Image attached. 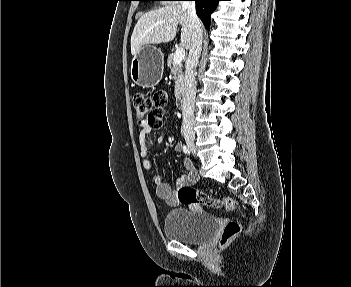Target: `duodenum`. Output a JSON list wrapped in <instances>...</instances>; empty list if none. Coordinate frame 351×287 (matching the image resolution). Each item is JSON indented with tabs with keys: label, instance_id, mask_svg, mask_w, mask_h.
<instances>
[{
	"label": "duodenum",
	"instance_id": "duodenum-1",
	"mask_svg": "<svg viewBox=\"0 0 351 287\" xmlns=\"http://www.w3.org/2000/svg\"><path fill=\"white\" fill-rule=\"evenodd\" d=\"M175 99H176V105L178 108L185 107V99H184L183 92L179 91L178 93H176Z\"/></svg>",
	"mask_w": 351,
	"mask_h": 287
}]
</instances>
